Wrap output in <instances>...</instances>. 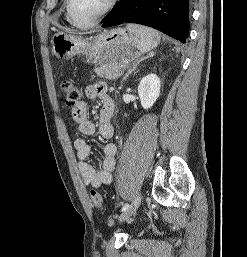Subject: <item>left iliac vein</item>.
Listing matches in <instances>:
<instances>
[{
  "label": "left iliac vein",
  "instance_id": "1",
  "mask_svg": "<svg viewBox=\"0 0 247 257\" xmlns=\"http://www.w3.org/2000/svg\"><path fill=\"white\" fill-rule=\"evenodd\" d=\"M142 196L140 193H138L132 200L131 204L129 205L128 209L124 211L120 216H119V221H125L128 218H130L132 215H134L140 205Z\"/></svg>",
  "mask_w": 247,
  "mask_h": 257
}]
</instances>
